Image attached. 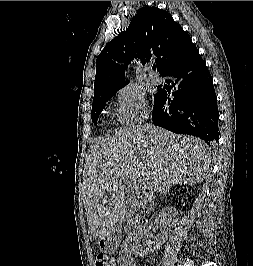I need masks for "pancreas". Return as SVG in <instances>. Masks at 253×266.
Listing matches in <instances>:
<instances>
[{"label": "pancreas", "mask_w": 253, "mask_h": 266, "mask_svg": "<svg viewBox=\"0 0 253 266\" xmlns=\"http://www.w3.org/2000/svg\"><path fill=\"white\" fill-rule=\"evenodd\" d=\"M135 212H137V210L135 208H131L127 212V219H128V223H129L128 227H130L131 224H134L133 215L135 214ZM136 218H139V216L136 215Z\"/></svg>", "instance_id": "cf45deb5"}]
</instances>
